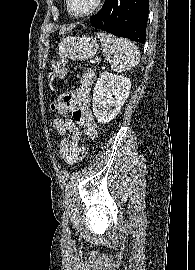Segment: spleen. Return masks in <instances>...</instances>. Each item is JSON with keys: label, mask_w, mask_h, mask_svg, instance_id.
<instances>
[{"label": "spleen", "mask_w": 195, "mask_h": 270, "mask_svg": "<svg viewBox=\"0 0 195 270\" xmlns=\"http://www.w3.org/2000/svg\"><path fill=\"white\" fill-rule=\"evenodd\" d=\"M97 36L103 55L111 63L113 71L123 72L138 65L140 52L134 43L106 32H99Z\"/></svg>", "instance_id": "spleen-1"}]
</instances>
